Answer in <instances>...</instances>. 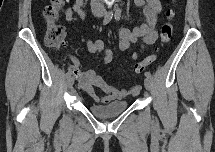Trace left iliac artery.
<instances>
[{
    "mask_svg": "<svg viewBox=\"0 0 215 152\" xmlns=\"http://www.w3.org/2000/svg\"><path fill=\"white\" fill-rule=\"evenodd\" d=\"M121 17V10L120 9H117L116 12H115V19L116 20H119ZM144 76L146 77H149V78H152V74L150 72H143L142 73Z\"/></svg>",
    "mask_w": 215,
    "mask_h": 152,
    "instance_id": "obj_1",
    "label": "left iliac artery"
}]
</instances>
